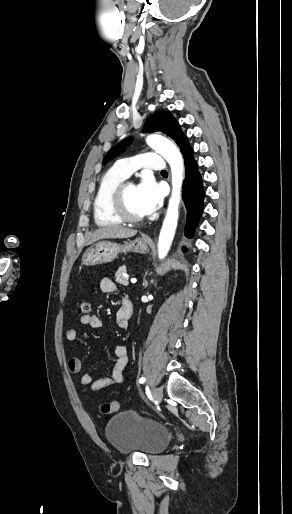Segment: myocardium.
Returning <instances> with one entry per match:
<instances>
[{"mask_svg":"<svg viewBox=\"0 0 292 514\" xmlns=\"http://www.w3.org/2000/svg\"><path fill=\"white\" fill-rule=\"evenodd\" d=\"M128 186H134L131 182L124 181L111 190L108 195V209L120 222L139 223L146 217V213L134 216L129 214L123 203V195Z\"/></svg>","mask_w":292,"mask_h":514,"instance_id":"1","label":"myocardium"}]
</instances>
